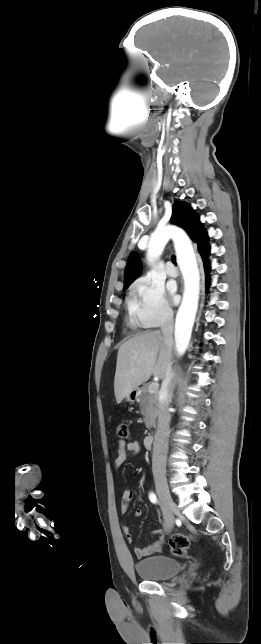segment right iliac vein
Instances as JSON below:
<instances>
[{
	"instance_id": "right-iliac-vein-1",
	"label": "right iliac vein",
	"mask_w": 261,
	"mask_h": 644,
	"mask_svg": "<svg viewBox=\"0 0 261 644\" xmlns=\"http://www.w3.org/2000/svg\"><path fill=\"white\" fill-rule=\"evenodd\" d=\"M155 486H156V492L160 500L162 501V503L167 508H169L172 513L179 516L180 515L179 509L177 508L176 504L174 503L171 497L165 477L160 475L155 476ZM173 524H174V517L172 515H169V524H168L169 530L172 529Z\"/></svg>"
}]
</instances>
